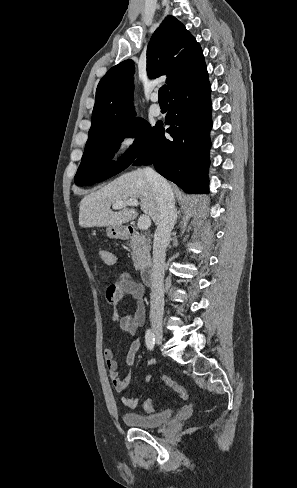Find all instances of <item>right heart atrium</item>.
Segmentation results:
<instances>
[{"mask_svg":"<svg viewBox=\"0 0 297 488\" xmlns=\"http://www.w3.org/2000/svg\"><path fill=\"white\" fill-rule=\"evenodd\" d=\"M142 141V130L134 124H127L118 134L116 140V152L121 156L131 154Z\"/></svg>","mask_w":297,"mask_h":488,"instance_id":"d8ad5b80","label":"right heart atrium"}]
</instances>
